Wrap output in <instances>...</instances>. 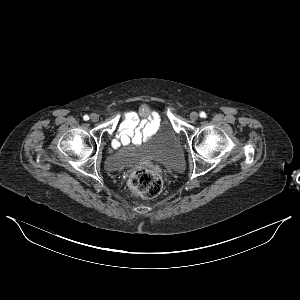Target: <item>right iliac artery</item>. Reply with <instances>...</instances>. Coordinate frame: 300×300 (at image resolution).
I'll return each mask as SVG.
<instances>
[{
    "mask_svg": "<svg viewBox=\"0 0 300 300\" xmlns=\"http://www.w3.org/2000/svg\"><path fill=\"white\" fill-rule=\"evenodd\" d=\"M83 119H84L85 121H87V120H89V116H88V115H84V116H83Z\"/></svg>",
    "mask_w": 300,
    "mask_h": 300,
    "instance_id": "right-iliac-artery-1",
    "label": "right iliac artery"
}]
</instances>
